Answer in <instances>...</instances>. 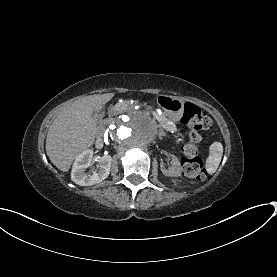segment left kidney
Wrapping results in <instances>:
<instances>
[{"mask_svg":"<svg viewBox=\"0 0 277 277\" xmlns=\"http://www.w3.org/2000/svg\"><path fill=\"white\" fill-rule=\"evenodd\" d=\"M172 158H173V166L169 170H167L164 168L163 164L161 163L160 165L161 171L165 176L178 177L181 175L180 162L176 156L172 155Z\"/></svg>","mask_w":277,"mask_h":277,"instance_id":"left-kidney-1","label":"left kidney"}]
</instances>
